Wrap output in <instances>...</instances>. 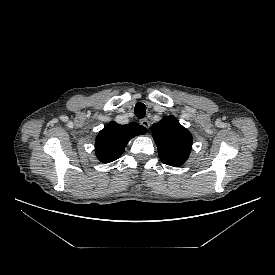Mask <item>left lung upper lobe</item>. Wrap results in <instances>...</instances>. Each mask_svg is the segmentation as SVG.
Returning <instances> with one entry per match:
<instances>
[{"label":"left lung upper lobe","mask_w":275,"mask_h":275,"mask_svg":"<svg viewBox=\"0 0 275 275\" xmlns=\"http://www.w3.org/2000/svg\"><path fill=\"white\" fill-rule=\"evenodd\" d=\"M161 161L170 166L182 165L191 152L192 136L174 116H166L151 127Z\"/></svg>","instance_id":"5c2ea615"}]
</instances>
